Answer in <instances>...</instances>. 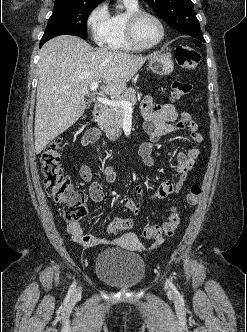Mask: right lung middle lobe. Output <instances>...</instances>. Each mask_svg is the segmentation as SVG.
<instances>
[{
	"instance_id": "obj_1",
	"label": "right lung middle lobe",
	"mask_w": 247,
	"mask_h": 332,
	"mask_svg": "<svg viewBox=\"0 0 247 332\" xmlns=\"http://www.w3.org/2000/svg\"><path fill=\"white\" fill-rule=\"evenodd\" d=\"M101 1L55 0L46 29L64 28L76 36L87 38V19Z\"/></svg>"
}]
</instances>
